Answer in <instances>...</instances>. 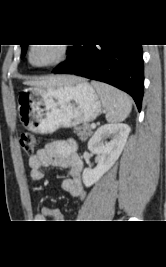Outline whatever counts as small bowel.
Returning a JSON list of instances; mask_svg holds the SVG:
<instances>
[{
  "label": "small bowel",
  "instance_id": "c3829d8e",
  "mask_svg": "<svg viewBox=\"0 0 166 267\" xmlns=\"http://www.w3.org/2000/svg\"><path fill=\"white\" fill-rule=\"evenodd\" d=\"M29 167L30 178L34 182H39L43 179L44 168L66 169L68 171V178L63 181L62 189L73 198L84 199L85 192L81 181L83 161L73 140H54L48 142L35 155L29 158ZM47 219H54L60 222L62 214L57 208L44 206L36 216V220L44 222Z\"/></svg>",
  "mask_w": 166,
  "mask_h": 267
}]
</instances>
